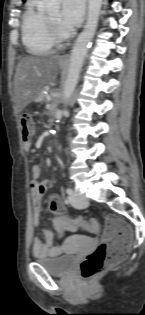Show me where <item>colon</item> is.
I'll return each instance as SVG.
<instances>
[{
    "label": "colon",
    "instance_id": "1",
    "mask_svg": "<svg viewBox=\"0 0 145 315\" xmlns=\"http://www.w3.org/2000/svg\"><path fill=\"white\" fill-rule=\"evenodd\" d=\"M22 139L24 142L31 140L34 135V119L30 113L20 116ZM50 209L58 217H62L78 227L90 232L98 231V222L94 219L67 218L64 216L63 206L52 200ZM132 241V232L129 225L115 215H107L105 218V232L101 243L88 255L80 265V274L84 279H91L101 272L116 266L128 253Z\"/></svg>",
    "mask_w": 145,
    "mask_h": 315
}]
</instances>
